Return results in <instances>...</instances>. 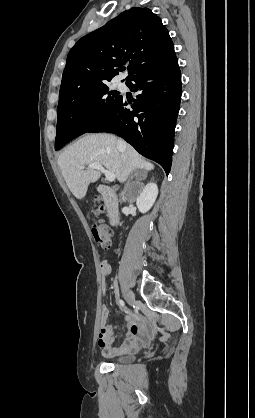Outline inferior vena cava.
Listing matches in <instances>:
<instances>
[{"instance_id": "obj_1", "label": "inferior vena cava", "mask_w": 255, "mask_h": 418, "mask_svg": "<svg viewBox=\"0 0 255 418\" xmlns=\"http://www.w3.org/2000/svg\"><path fill=\"white\" fill-rule=\"evenodd\" d=\"M118 147L120 149H125L126 148V143L123 140L119 139L118 140ZM122 160H123V164H126L127 163V155H126V153H123L122 154Z\"/></svg>"}]
</instances>
